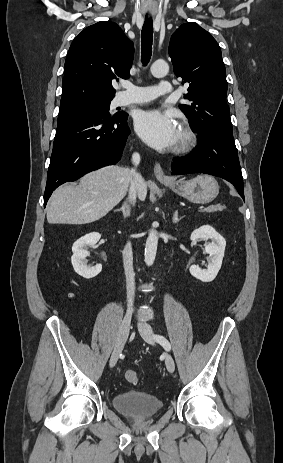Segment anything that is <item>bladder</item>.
Wrapping results in <instances>:
<instances>
[{
  "label": "bladder",
  "mask_w": 283,
  "mask_h": 463,
  "mask_svg": "<svg viewBox=\"0 0 283 463\" xmlns=\"http://www.w3.org/2000/svg\"><path fill=\"white\" fill-rule=\"evenodd\" d=\"M113 405L117 412L126 417L144 419L158 413L162 402L153 394L129 390L116 394L113 397Z\"/></svg>",
  "instance_id": "1"
}]
</instances>
